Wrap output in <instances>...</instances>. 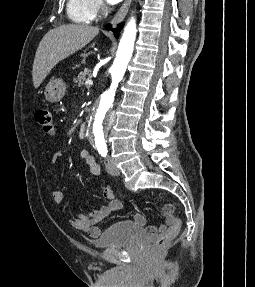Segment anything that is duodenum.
Wrapping results in <instances>:
<instances>
[{
  "mask_svg": "<svg viewBox=\"0 0 255 287\" xmlns=\"http://www.w3.org/2000/svg\"><path fill=\"white\" fill-rule=\"evenodd\" d=\"M78 135L81 139H85L87 137V125H86V123H82L79 126Z\"/></svg>",
  "mask_w": 255,
  "mask_h": 287,
  "instance_id": "1",
  "label": "duodenum"
}]
</instances>
